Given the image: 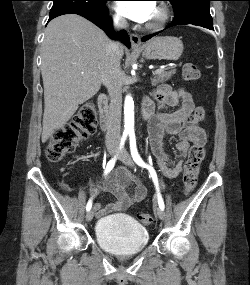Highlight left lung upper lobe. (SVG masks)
<instances>
[{
    "mask_svg": "<svg viewBox=\"0 0 250 285\" xmlns=\"http://www.w3.org/2000/svg\"><path fill=\"white\" fill-rule=\"evenodd\" d=\"M170 1L175 18L173 22H185L192 19L212 20L210 1L212 0H167Z\"/></svg>",
    "mask_w": 250,
    "mask_h": 285,
    "instance_id": "obj_1",
    "label": "left lung upper lobe"
}]
</instances>
